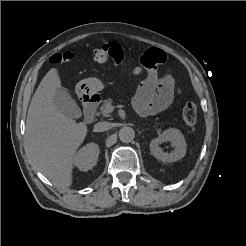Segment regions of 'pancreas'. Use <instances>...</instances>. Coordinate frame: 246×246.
<instances>
[{
	"label": "pancreas",
	"mask_w": 246,
	"mask_h": 246,
	"mask_svg": "<svg viewBox=\"0 0 246 246\" xmlns=\"http://www.w3.org/2000/svg\"><path fill=\"white\" fill-rule=\"evenodd\" d=\"M109 105H112L111 99L103 101V104L100 107V114H102L103 116H109V113L107 112V107Z\"/></svg>",
	"instance_id": "1"
}]
</instances>
